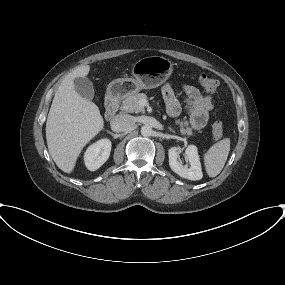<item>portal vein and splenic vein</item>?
Masks as SVG:
<instances>
[{"label":"portal vein and splenic vein","instance_id":"1","mask_svg":"<svg viewBox=\"0 0 285 285\" xmlns=\"http://www.w3.org/2000/svg\"><path fill=\"white\" fill-rule=\"evenodd\" d=\"M141 102L143 103V106H144V104H145V101H143V100H142Z\"/></svg>","mask_w":285,"mask_h":285}]
</instances>
